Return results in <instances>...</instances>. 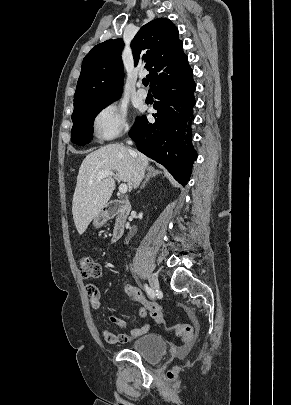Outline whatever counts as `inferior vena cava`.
Masks as SVG:
<instances>
[{"label":"inferior vena cava","mask_w":291,"mask_h":405,"mask_svg":"<svg viewBox=\"0 0 291 405\" xmlns=\"http://www.w3.org/2000/svg\"><path fill=\"white\" fill-rule=\"evenodd\" d=\"M129 145L132 144V141L127 142ZM129 152L132 156L135 157L134 163V176H133V187L137 188L144 176V167L140 163L139 159L136 157V154L133 150L129 149Z\"/></svg>","instance_id":"inferior-vena-cava-1"}]
</instances>
